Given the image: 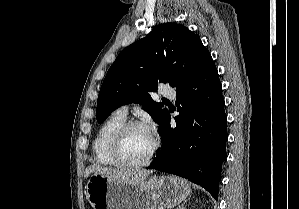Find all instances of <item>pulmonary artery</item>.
I'll use <instances>...</instances> for the list:
<instances>
[{"instance_id": "1", "label": "pulmonary artery", "mask_w": 299, "mask_h": 209, "mask_svg": "<svg viewBox=\"0 0 299 209\" xmlns=\"http://www.w3.org/2000/svg\"><path fill=\"white\" fill-rule=\"evenodd\" d=\"M159 93L161 96L166 98L175 97V91L172 88L167 86L161 87ZM117 111L126 116L128 114V106L127 105L121 106Z\"/></svg>"}]
</instances>
